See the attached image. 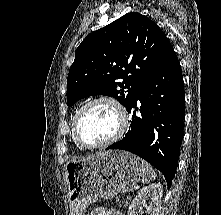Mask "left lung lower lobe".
<instances>
[{
  "label": "left lung lower lobe",
  "instance_id": "left-lung-lower-lobe-1",
  "mask_svg": "<svg viewBox=\"0 0 221 215\" xmlns=\"http://www.w3.org/2000/svg\"><path fill=\"white\" fill-rule=\"evenodd\" d=\"M138 110L140 115H136ZM184 110L181 66L171 46L127 110L131 114L129 131L107 150L122 149L140 156L164 174L170 187L178 165Z\"/></svg>",
  "mask_w": 221,
  "mask_h": 215
}]
</instances>
